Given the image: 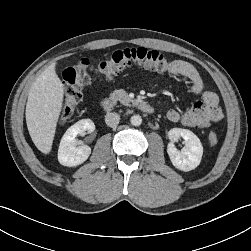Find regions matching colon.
<instances>
[{
	"mask_svg": "<svg viewBox=\"0 0 251 251\" xmlns=\"http://www.w3.org/2000/svg\"><path fill=\"white\" fill-rule=\"evenodd\" d=\"M132 65L165 72L170 70L172 62L164 54L143 47L116 50L97 65L91 64L86 58L81 59L77 65L63 71V103L60 121H66L73 114L82 99L83 88L90 85L95 77L109 79ZM208 139L211 145H216L217 133L211 132Z\"/></svg>",
	"mask_w": 251,
	"mask_h": 251,
	"instance_id": "obj_1",
	"label": "colon"
}]
</instances>
